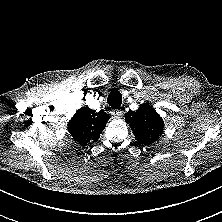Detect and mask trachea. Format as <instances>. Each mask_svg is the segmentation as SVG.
Here are the masks:
<instances>
[{"instance_id": "obj_1", "label": "trachea", "mask_w": 222, "mask_h": 222, "mask_svg": "<svg viewBox=\"0 0 222 222\" xmlns=\"http://www.w3.org/2000/svg\"><path fill=\"white\" fill-rule=\"evenodd\" d=\"M107 103L113 108H118L122 103L121 93L117 89H113L107 98Z\"/></svg>"}]
</instances>
